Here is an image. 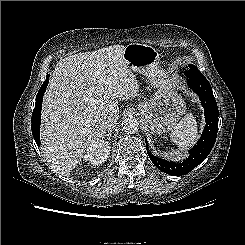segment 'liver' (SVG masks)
<instances>
[{"mask_svg":"<svg viewBox=\"0 0 245 245\" xmlns=\"http://www.w3.org/2000/svg\"><path fill=\"white\" fill-rule=\"evenodd\" d=\"M125 46L111 45L58 62L43 99L42 153L50 167L69 176L87 148L106 135L105 116L118 119V99L137 96L138 83L124 58Z\"/></svg>","mask_w":245,"mask_h":245,"instance_id":"liver-1","label":"liver"}]
</instances>
